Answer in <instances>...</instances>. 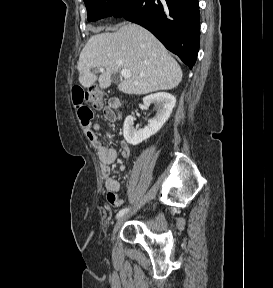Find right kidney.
I'll list each match as a JSON object with an SVG mask.
<instances>
[{
    "label": "right kidney",
    "instance_id": "ca27d5eb",
    "mask_svg": "<svg viewBox=\"0 0 273 288\" xmlns=\"http://www.w3.org/2000/svg\"><path fill=\"white\" fill-rule=\"evenodd\" d=\"M143 103L146 107L152 103L156 104L158 107L157 114L144 129H137L133 126L135 119L132 115L126 117L123 126V135L127 143L131 145H138L162 128L175 107L176 98L170 93L160 92L144 97Z\"/></svg>",
    "mask_w": 273,
    "mask_h": 288
}]
</instances>
